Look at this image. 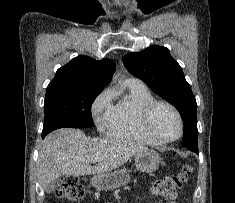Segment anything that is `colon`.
<instances>
[{
	"instance_id": "5ec220e1",
	"label": "colon",
	"mask_w": 235,
	"mask_h": 203,
	"mask_svg": "<svg viewBox=\"0 0 235 203\" xmlns=\"http://www.w3.org/2000/svg\"><path fill=\"white\" fill-rule=\"evenodd\" d=\"M190 174L191 168L184 167L176 176L163 177L157 180L152 186V192L165 200H173ZM55 194L59 198L77 201L83 197L84 188L77 176L67 175L63 178L62 184L56 189Z\"/></svg>"
}]
</instances>
